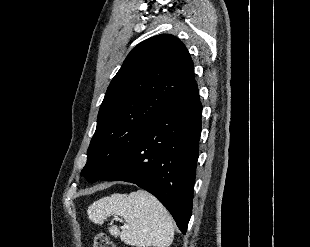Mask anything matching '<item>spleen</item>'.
Segmentation results:
<instances>
[{
    "label": "spleen",
    "mask_w": 310,
    "mask_h": 247,
    "mask_svg": "<svg viewBox=\"0 0 310 247\" xmlns=\"http://www.w3.org/2000/svg\"><path fill=\"white\" fill-rule=\"evenodd\" d=\"M89 219L102 225L107 217H123L122 231L115 225L111 235L136 247H168L174 238L173 219L166 208L150 193L137 190L130 194H112L95 201L88 210Z\"/></svg>",
    "instance_id": "obj_1"
}]
</instances>
